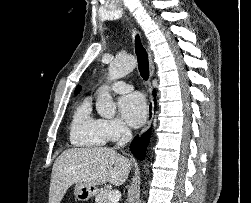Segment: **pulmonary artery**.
<instances>
[{
	"label": "pulmonary artery",
	"mask_w": 251,
	"mask_h": 203,
	"mask_svg": "<svg viewBox=\"0 0 251 203\" xmlns=\"http://www.w3.org/2000/svg\"><path fill=\"white\" fill-rule=\"evenodd\" d=\"M110 89L117 93H125L131 91L133 86L122 80H117L111 84Z\"/></svg>",
	"instance_id": "e3ab8cb5"
}]
</instances>
